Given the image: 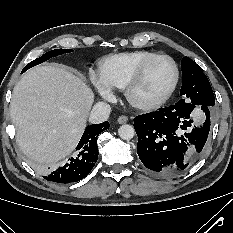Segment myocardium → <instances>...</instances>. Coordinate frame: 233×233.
Here are the masks:
<instances>
[{
	"instance_id": "f54148a6",
	"label": "myocardium",
	"mask_w": 233,
	"mask_h": 233,
	"mask_svg": "<svg viewBox=\"0 0 233 233\" xmlns=\"http://www.w3.org/2000/svg\"><path fill=\"white\" fill-rule=\"evenodd\" d=\"M161 58H166V59L170 60V62L172 63L173 70H174V75H173L172 81L170 82V84L166 88V90L156 99L151 100V101H146V102L136 100L134 97V90L137 87V85L139 84V82L141 81L145 71L154 61L161 59ZM178 80H179V69H178V66H177V63L175 62V60L167 54H156V55L152 56L151 58L142 62L137 67V69L133 72V74L131 75L127 84L124 87L125 97H126L127 101L133 107H135L137 109L145 110V111L153 110V109H156V108L160 107L161 105H163L169 99V97L172 95V93L174 92V90L177 86Z\"/></svg>"
}]
</instances>
